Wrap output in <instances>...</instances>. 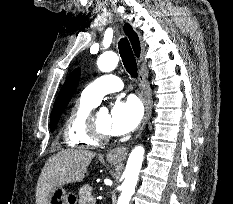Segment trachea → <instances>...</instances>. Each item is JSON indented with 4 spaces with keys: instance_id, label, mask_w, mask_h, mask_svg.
Wrapping results in <instances>:
<instances>
[{
    "instance_id": "1",
    "label": "trachea",
    "mask_w": 233,
    "mask_h": 204,
    "mask_svg": "<svg viewBox=\"0 0 233 204\" xmlns=\"http://www.w3.org/2000/svg\"><path fill=\"white\" fill-rule=\"evenodd\" d=\"M118 48L126 71L130 74L131 77L136 78L137 62L129 41L126 38H122L119 41Z\"/></svg>"
}]
</instances>
